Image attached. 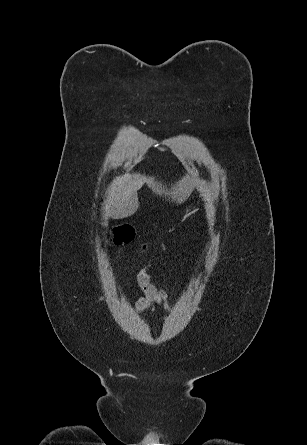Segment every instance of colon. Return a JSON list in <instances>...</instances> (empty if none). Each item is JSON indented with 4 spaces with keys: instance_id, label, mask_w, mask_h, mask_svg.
I'll return each instance as SVG.
<instances>
[{
    "instance_id": "5ec220e1",
    "label": "colon",
    "mask_w": 307,
    "mask_h": 445,
    "mask_svg": "<svg viewBox=\"0 0 307 445\" xmlns=\"http://www.w3.org/2000/svg\"><path fill=\"white\" fill-rule=\"evenodd\" d=\"M135 235L134 228L129 224H121L113 229L112 243L114 245L127 244L133 240Z\"/></svg>"
}]
</instances>
